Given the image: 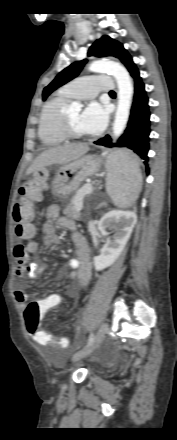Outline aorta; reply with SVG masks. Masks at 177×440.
<instances>
[{
	"label": "aorta",
	"instance_id": "1",
	"mask_svg": "<svg viewBox=\"0 0 177 440\" xmlns=\"http://www.w3.org/2000/svg\"><path fill=\"white\" fill-rule=\"evenodd\" d=\"M89 70L97 73H111L118 86V105L113 123V137L117 139L124 131L128 122L133 97V85L127 70L112 61H93ZM69 109L80 111L81 104L73 102Z\"/></svg>",
	"mask_w": 177,
	"mask_h": 440
}]
</instances>
